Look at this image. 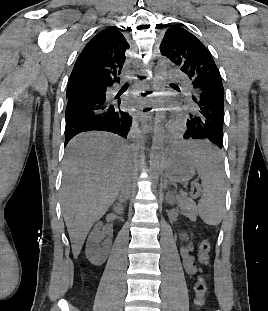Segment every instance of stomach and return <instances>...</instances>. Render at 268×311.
I'll list each match as a JSON object with an SVG mask.
<instances>
[{
	"mask_svg": "<svg viewBox=\"0 0 268 311\" xmlns=\"http://www.w3.org/2000/svg\"><path fill=\"white\" fill-rule=\"evenodd\" d=\"M166 177L176 183L189 181L195 175L196 166L192 159L191 147L173 146L163 161Z\"/></svg>",
	"mask_w": 268,
	"mask_h": 311,
	"instance_id": "obj_1",
	"label": "stomach"
}]
</instances>
